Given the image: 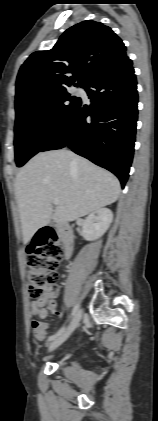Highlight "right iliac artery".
<instances>
[{"instance_id":"right-iliac-artery-1","label":"right iliac artery","mask_w":158,"mask_h":421,"mask_svg":"<svg viewBox=\"0 0 158 421\" xmlns=\"http://www.w3.org/2000/svg\"><path fill=\"white\" fill-rule=\"evenodd\" d=\"M78 309H79V304L77 303L75 306H74V308H73V310H72V313H71V317H73L76 313H77V311H78ZM65 331V326H63L57 333H55L54 335H52V336H50L49 338H48V341H52V340H54L55 338H57L59 335H61L63 332Z\"/></svg>"}]
</instances>
